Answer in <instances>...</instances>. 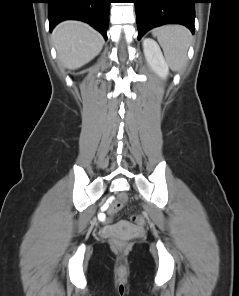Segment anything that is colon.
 <instances>
[{"instance_id": "5ec220e1", "label": "colon", "mask_w": 239, "mask_h": 296, "mask_svg": "<svg viewBox=\"0 0 239 296\" xmlns=\"http://www.w3.org/2000/svg\"><path fill=\"white\" fill-rule=\"evenodd\" d=\"M127 200H128V198L126 195H120L114 201L113 207L115 209H120L126 204ZM129 220L134 225L143 224V218L138 214H131L129 216ZM112 242H113L114 247H116V248H125L126 247V240L119 235H114L112 238Z\"/></svg>"}]
</instances>
